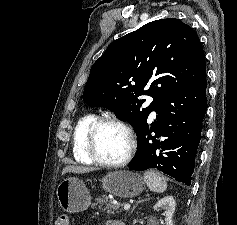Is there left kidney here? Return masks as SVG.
<instances>
[{
  "instance_id": "obj_1",
  "label": "left kidney",
  "mask_w": 237,
  "mask_h": 225,
  "mask_svg": "<svg viewBox=\"0 0 237 225\" xmlns=\"http://www.w3.org/2000/svg\"><path fill=\"white\" fill-rule=\"evenodd\" d=\"M176 202L173 196H165L154 206L155 210H165V224L173 225L172 217L175 211Z\"/></svg>"
}]
</instances>
